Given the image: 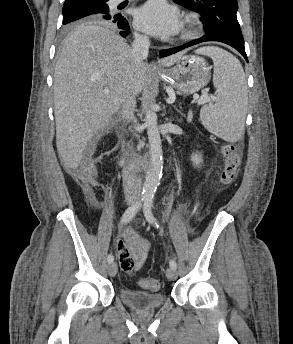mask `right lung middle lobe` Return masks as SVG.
<instances>
[{
  "instance_id": "1",
  "label": "right lung middle lobe",
  "mask_w": 293,
  "mask_h": 344,
  "mask_svg": "<svg viewBox=\"0 0 293 344\" xmlns=\"http://www.w3.org/2000/svg\"><path fill=\"white\" fill-rule=\"evenodd\" d=\"M108 0H83L63 6V25L92 21L91 16L109 13Z\"/></svg>"
}]
</instances>
